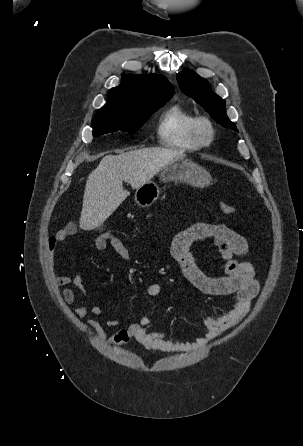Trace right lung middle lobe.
Listing matches in <instances>:
<instances>
[{
	"label": "right lung middle lobe",
	"instance_id": "obj_1",
	"mask_svg": "<svg viewBox=\"0 0 303 446\" xmlns=\"http://www.w3.org/2000/svg\"><path fill=\"white\" fill-rule=\"evenodd\" d=\"M163 105L164 103L140 112L100 109L94 118L93 136L97 137L118 130L134 132L145 123L150 114Z\"/></svg>",
	"mask_w": 303,
	"mask_h": 446
}]
</instances>
